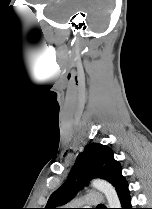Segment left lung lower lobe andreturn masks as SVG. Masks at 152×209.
<instances>
[{
    "label": "left lung lower lobe",
    "mask_w": 152,
    "mask_h": 209,
    "mask_svg": "<svg viewBox=\"0 0 152 209\" xmlns=\"http://www.w3.org/2000/svg\"><path fill=\"white\" fill-rule=\"evenodd\" d=\"M121 209H134L131 205V197L129 195L128 183L125 181L117 191Z\"/></svg>",
    "instance_id": "1"
}]
</instances>
